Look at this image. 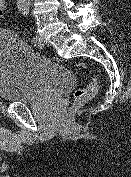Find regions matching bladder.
<instances>
[{
	"mask_svg": "<svg viewBox=\"0 0 131 177\" xmlns=\"http://www.w3.org/2000/svg\"><path fill=\"white\" fill-rule=\"evenodd\" d=\"M75 83L69 68L37 55L13 33L0 32V99L8 103L45 101Z\"/></svg>",
	"mask_w": 131,
	"mask_h": 177,
	"instance_id": "1",
	"label": "bladder"
}]
</instances>
